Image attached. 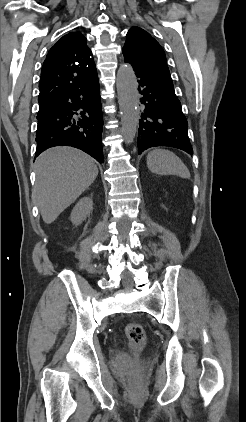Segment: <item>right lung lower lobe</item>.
Wrapping results in <instances>:
<instances>
[{"instance_id": "obj_1", "label": "right lung lower lobe", "mask_w": 246, "mask_h": 422, "mask_svg": "<svg viewBox=\"0 0 246 422\" xmlns=\"http://www.w3.org/2000/svg\"><path fill=\"white\" fill-rule=\"evenodd\" d=\"M79 115V116H76ZM36 156L54 146H72L104 162L98 76L39 107Z\"/></svg>"}]
</instances>
